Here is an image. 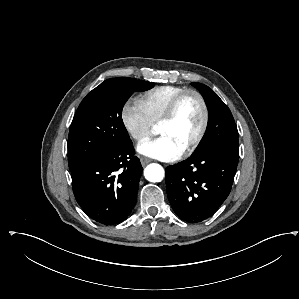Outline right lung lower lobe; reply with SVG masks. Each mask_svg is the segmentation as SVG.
Returning <instances> with one entry per match:
<instances>
[{"label":"right lung lower lobe","instance_id":"98d812e1","mask_svg":"<svg viewBox=\"0 0 299 299\" xmlns=\"http://www.w3.org/2000/svg\"><path fill=\"white\" fill-rule=\"evenodd\" d=\"M134 153L131 142L71 172L76 201L95 221L111 225L130 214L143 170Z\"/></svg>","mask_w":299,"mask_h":299}]
</instances>
